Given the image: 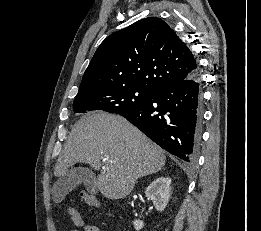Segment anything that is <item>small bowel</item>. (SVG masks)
Wrapping results in <instances>:
<instances>
[{
    "mask_svg": "<svg viewBox=\"0 0 261 231\" xmlns=\"http://www.w3.org/2000/svg\"><path fill=\"white\" fill-rule=\"evenodd\" d=\"M67 210L72 218L74 226L76 227L70 231H100L96 226L84 225V220L81 214L74 207L69 205L67 206Z\"/></svg>",
    "mask_w": 261,
    "mask_h": 231,
    "instance_id": "small-bowel-1",
    "label": "small bowel"
}]
</instances>
